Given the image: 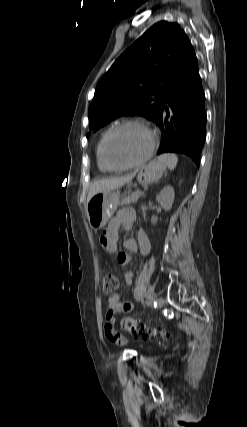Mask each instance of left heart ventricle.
<instances>
[{
  "label": "left heart ventricle",
  "instance_id": "left-heart-ventricle-1",
  "mask_svg": "<svg viewBox=\"0 0 247 427\" xmlns=\"http://www.w3.org/2000/svg\"><path fill=\"white\" fill-rule=\"evenodd\" d=\"M151 144V135L143 128L129 126L115 133L108 144V155L116 165H125L142 158Z\"/></svg>",
  "mask_w": 247,
  "mask_h": 427
}]
</instances>
